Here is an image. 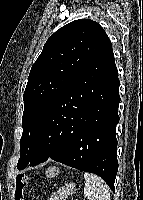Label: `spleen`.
<instances>
[{
    "label": "spleen",
    "mask_w": 143,
    "mask_h": 200,
    "mask_svg": "<svg viewBox=\"0 0 143 200\" xmlns=\"http://www.w3.org/2000/svg\"><path fill=\"white\" fill-rule=\"evenodd\" d=\"M84 196L89 200H110V191L104 180L93 174L84 173Z\"/></svg>",
    "instance_id": "3e777b00"
}]
</instances>
